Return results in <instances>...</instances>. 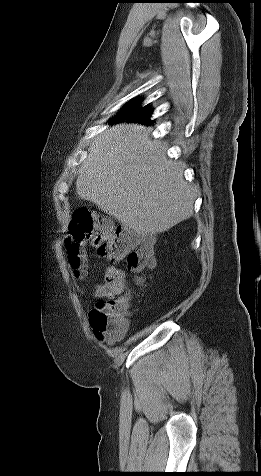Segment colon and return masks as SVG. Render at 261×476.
Returning a JSON list of instances; mask_svg holds the SVG:
<instances>
[{"mask_svg": "<svg viewBox=\"0 0 261 476\" xmlns=\"http://www.w3.org/2000/svg\"><path fill=\"white\" fill-rule=\"evenodd\" d=\"M88 247L94 249L99 258L126 261L133 273H140L155 263L151 240L138 237L128 229L114 227L90 209L81 207L73 214L66 241L69 264L77 277L85 273ZM136 282L141 283V279L137 277ZM127 301V296H124L95 303L90 312V323L98 339L113 342L125 334L129 315Z\"/></svg>", "mask_w": 261, "mask_h": 476, "instance_id": "obj_1", "label": "colon"}]
</instances>
